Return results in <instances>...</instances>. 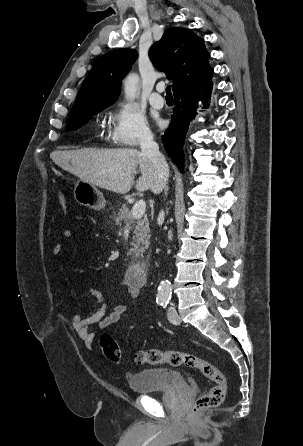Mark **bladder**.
<instances>
[{"label": "bladder", "instance_id": "bladder-1", "mask_svg": "<svg viewBox=\"0 0 303 446\" xmlns=\"http://www.w3.org/2000/svg\"><path fill=\"white\" fill-rule=\"evenodd\" d=\"M129 388L135 393H151L185 387L183 375L167 368H147L127 375Z\"/></svg>", "mask_w": 303, "mask_h": 446}]
</instances>
